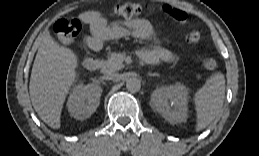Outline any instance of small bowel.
I'll return each instance as SVG.
<instances>
[{
    "mask_svg": "<svg viewBox=\"0 0 259 156\" xmlns=\"http://www.w3.org/2000/svg\"><path fill=\"white\" fill-rule=\"evenodd\" d=\"M80 19L91 31V36L85 40L89 48L96 42L101 45L105 39L133 36L154 42L155 47L153 50L142 53L145 60L169 62L175 59L174 55L160 44L152 24L146 19L134 18L108 23L105 14L95 10L82 13Z\"/></svg>",
    "mask_w": 259,
    "mask_h": 156,
    "instance_id": "1",
    "label": "small bowel"
}]
</instances>
